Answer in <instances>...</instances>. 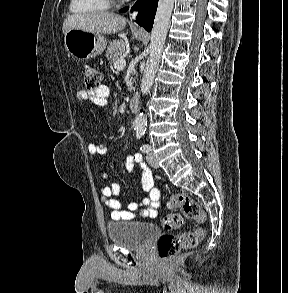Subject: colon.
Instances as JSON below:
<instances>
[{"instance_id": "5ec220e1", "label": "colon", "mask_w": 288, "mask_h": 293, "mask_svg": "<svg viewBox=\"0 0 288 293\" xmlns=\"http://www.w3.org/2000/svg\"><path fill=\"white\" fill-rule=\"evenodd\" d=\"M102 74L93 66H86L84 69V84L86 90L97 91L102 86ZM170 208H179L180 212H170L162 220V225L167 230L180 228L185 218L197 223L204 221V213L199 204L190 196L179 193L173 195L169 201ZM205 230L197 226L192 231L179 235L164 234L157 243L158 255L161 260L166 261L174 257L182 249L195 247L203 238Z\"/></svg>"}]
</instances>
